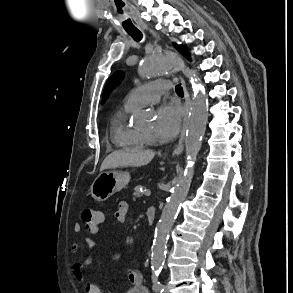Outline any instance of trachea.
<instances>
[{
  "mask_svg": "<svg viewBox=\"0 0 293 293\" xmlns=\"http://www.w3.org/2000/svg\"><path fill=\"white\" fill-rule=\"evenodd\" d=\"M126 32L135 40L140 41L143 37L142 33L138 29H126ZM177 93H182V88L180 86L176 87Z\"/></svg>",
  "mask_w": 293,
  "mask_h": 293,
  "instance_id": "1",
  "label": "trachea"
}]
</instances>
